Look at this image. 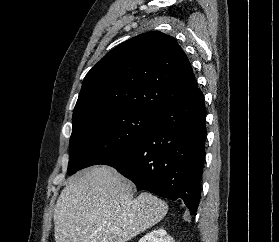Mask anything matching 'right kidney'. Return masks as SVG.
Here are the masks:
<instances>
[{
  "label": "right kidney",
  "mask_w": 279,
  "mask_h": 242,
  "mask_svg": "<svg viewBox=\"0 0 279 242\" xmlns=\"http://www.w3.org/2000/svg\"><path fill=\"white\" fill-rule=\"evenodd\" d=\"M138 242H174L164 229H155L144 235Z\"/></svg>",
  "instance_id": "1"
}]
</instances>
